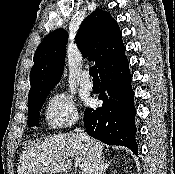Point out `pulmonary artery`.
Returning a JSON list of instances; mask_svg holds the SVG:
<instances>
[{"instance_id": "obj_1", "label": "pulmonary artery", "mask_w": 175, "mask_h": 174, "mask_svg": "<svg viewBox=\"0 0 175 174\" xmlns=\"http://www.w3.org/2000/svg\"><path fill=\"white\" fill-rule=\"evenodd\" d=\"M81 86L86 89L90 90L92 88V82L89 79V74L87 71H84L81 75V80H80Z\"/></svg>"}]
</instances>
